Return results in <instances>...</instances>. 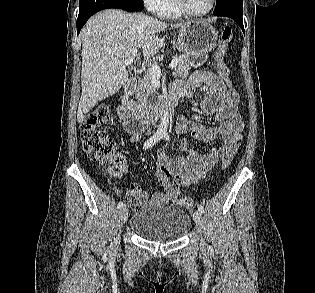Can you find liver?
<instances>
[{"label": "liver", "mask_w": 315, "mask_h": 293, "mask_svg": "<svg viewBox=\"0 0 315 293\" xmlns=\"http://www.w3.org/2000/svg\"><path fill=\"white\" fill-rule=\"evenodd\" d=\"M185 23L171 24L181 28ZM170 24L142 13H126L109 9L94 15L81 31L82 38V94L77 119L85 121L98 101L114 95L126 83L128 73L124 60L134 50L142 49L149 60L160 48L158 33Z\"/></svg>", "instance_id": "6515ba94"}]
</instances>
